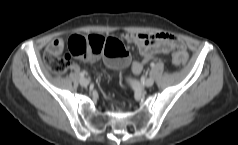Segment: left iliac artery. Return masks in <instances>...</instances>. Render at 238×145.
I'll return each mask as SVG.
<instances>
[{
	"label": "left iliac artery",
	"mask_w": 238,
	"mask_h": 145,
	"mask_svg": "<svg viewBox=\"0 0 238 145\" xmlns=\"http://www.w3.org/2000/svg\"><path fill=\"white\" fill-rule=\"evenodd\" d=\"M155 66V64L154 63H151V67H154Z\"/></svg>",
	"instance_id": "1"
}]
</instances>
